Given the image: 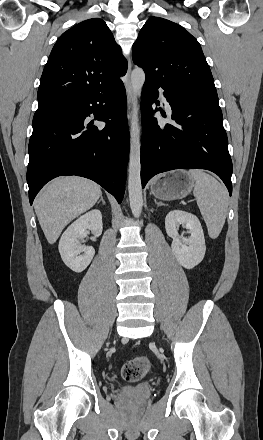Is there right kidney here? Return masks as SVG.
Here are the masks:
<instances>
[{"label": "right kidney", "instance_id": "1", "mask_svg": "<svg viewBox=\"0 0 263 440\" xmlns=\"http://www.w3.org/2000/svg\"><path fill=\"white\" fill-rule=\"evenodd\" d=\"M87 229H90L96 237L101 235L102 214L98 209H93L74 221L59 241L58 249L63 262L77 273L87 268L95 254L92 246L79 245V239L85 237Z\"/></svg>", "mask_w": 263, "mask_h": 440}]
</instances>
